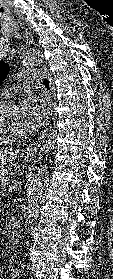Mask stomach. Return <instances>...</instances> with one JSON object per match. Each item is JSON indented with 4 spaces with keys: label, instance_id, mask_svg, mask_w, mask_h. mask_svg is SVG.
<instances>
[{
    "label": "stomach",
    "instance_id": "0dacf381",
    "mask_svg": "<svg viewBox=\"0 0 113 279\" xmlns=\"http://www.w3.org/2000/svg\"><path fill=\"white\" fill-rule=\"evenodd\" d=\"M24 160L25 161H31L32 157L31 156H24ZM6 173H7V166L6 165L0 166V182H1L2 179H4Z\"/></svg>",
    "mask_w": 113,
    "mask_h": 279
}]
</instances>
